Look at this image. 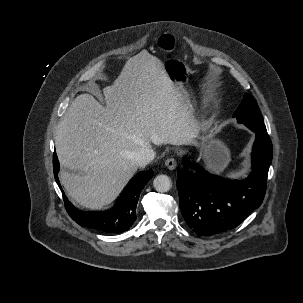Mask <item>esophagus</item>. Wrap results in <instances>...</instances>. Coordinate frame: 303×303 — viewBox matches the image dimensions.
I'll return each instance as SVG.
<instances>
[{"label":"esophagus","instance_id":"obj_1","mask_svg":"<svg viewBox=\"0 0 303 303\" xmlns=\"http://www.w3.org/2000/svg\"><path fill=\"white\" fill-rule=\"evenodd\" d=\"M165 165L166 167L169 169V170H174L177 166V162L174 158H168L166 161H165Z\"/></svg>","mask_w":303,"mask_h":303}]
</instances>
